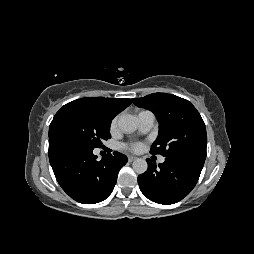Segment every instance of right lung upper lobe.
<instances>
[{"mask_svg": "<svg viewBox=\"0 0 254 254\" xmlns=\"http://www.w3.org/2000/svg\"><path fill=\"white\" fill-rule=\"evenodd\" d=\"M76 102H90L99 105L112 118L119 112L128 107L132 101L128 98H103V97H87L75 100Z\"/></svg>", "mask_w": 254, "mask_h": 254, "instance_id": "right-lung-upper-lobe-1", "label": "right lung upper lobe"}]
</instances>
